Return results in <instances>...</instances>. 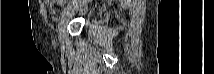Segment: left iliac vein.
<instances>
[{
    "label": "left iliac vein",
    "mask_w": 214,
    "mask_h": 74,
    "mask_svg": "<svg viewBox=\"0 0 214 74\" xmlns=\"http://www.w3.org/2000/svg\"><path fill=\"white\" fill-rule=\"evenodd\" d=\"M84 1H80V3L72 8H70L68 11H66L60 18L59 26H58V37L60 42H63L64 40V33H65V27L69 19L75 14V12L84 5Z\"/></svg>",
    "instance_id": "1"
}]
</instances>
